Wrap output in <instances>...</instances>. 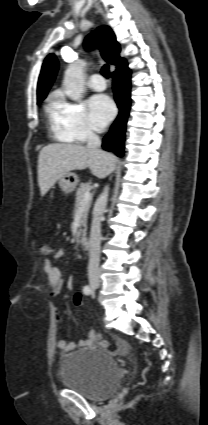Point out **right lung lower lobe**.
Returning a JSON list of instances; mask_svg holds the SVG:
<instances>
[{
    "label": "right lung lower lobe",
    "instance_id": "right-lung-lower-lobe-1",
    "mask_svg": "<svg viewBox=\"0 0 208 425\" xmlns=\"http://www.w3.org/2000/svg\"><path fill=\"white\" fill-rule=\"evenodd\" d=\"M130 78L131 70L128 66L113 72V92L120 112L102 143L104 150L114 152L119 157L124 154L125 128L131 104Z\"/></svg>",
    "mask_w": 208,
    "mask_h": 425
}]
</instances>
